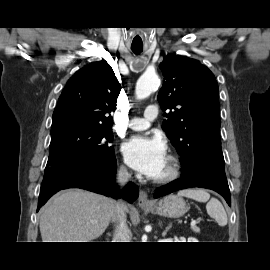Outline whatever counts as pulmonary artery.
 I'll return each instance as SVG.
<instances>
[{
  "label": "pulmonary artery",
  "mask_w": 270,
  "mask_h": 270,
  "mask_svg": "<svg viewBox=\"0 0 270 270\" xmlns=\"http://www.w3.org/2000/svg\"><path fill=\"white\" fill-rule=\"evenodd\" d=\"M158 115V108L156 106H148L145 110L144 117L132 118L128 126L133 130H145L151 125V121L154 120Z\"/></svg>",
  "instance_id": "obj_1"
}]
</instances>
